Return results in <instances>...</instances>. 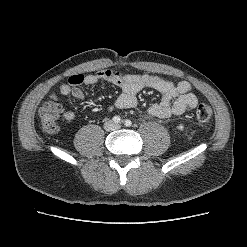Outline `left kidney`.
<instances>
[{"instance_id": "obj_1", "label": "left kidney", "mask_w": 247, "mask_h": 247, "mask_svg": "<svg viewBox=\"0 0 247 247\" xmlns=\"http://www.w3.org/2000/svg\"><path fill=\"white\" fill-rule=\"evenodd\" d=\"M177 128H178L179 130L183 131V130H184V125H183V124H179V125L177 126Z\"/></svg>"}]
</instances>
